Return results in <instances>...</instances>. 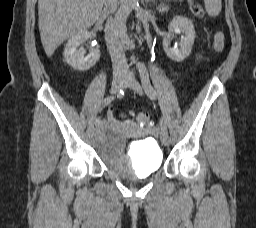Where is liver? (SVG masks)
Listing matches in <instances>:
<instances>
[{
  "label": "liver",
  "instance_id": "1",
  "mask_svg": "<svg viewBox=\"0 0 256 228\" xmlns=\"http://www.w3.org/2000/svg\"><path fill=\"white\" fill-rule=\"evenodd\" d=\"M103 0H38L41 42L48 57L68 38L90 28L99 18Z\"/></svg>",
  "mask_w": 256,
  "mask_h": 228
}]
</instances>
